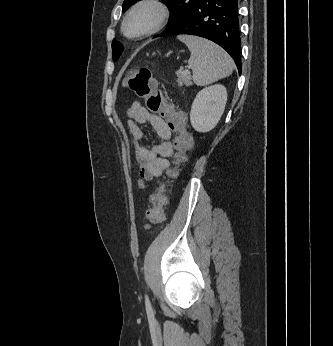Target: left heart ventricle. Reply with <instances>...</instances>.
Returning a JSON list of instances; mask_svg holds the SVG:
<instances>
[{
  "label": "left heart ventricle",
  "mask_w": 333,
  "mask_h": 346,
  "mask_svg": "<svg viewBox=\"0 0 333 346\" xmlns=\"http://www.w3.org/2000/svg\"><path fill=\"white\" fill-rule=\"evenodd\" d=\"M157 19V12L151 7H143L137 10L126 24L129 34H136L149 29Z\"/></svg>",
  "instance_id": "obj_1"
}]
</instances>
